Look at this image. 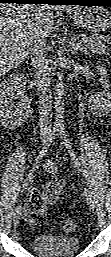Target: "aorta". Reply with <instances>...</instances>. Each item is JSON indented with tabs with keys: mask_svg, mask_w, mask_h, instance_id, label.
Instances as JSON below:
<instances>
[{
	"mask_svg": "<svg viewBox=\"0 0 111 257\" xmlns=\"http://www.w3.org/2000/svg\"><path fill=\"white\" fill-rule=\"evenodd\" d=\"M63 95H64V83L63 74L61 72L57 73V83H56V97H55V110H56V124L60 123V118L63 112Z\"/></svg>",
	"mask_w": 111,
	"mask_h": 257,
	"instance_id": "762f6f07",
	"label": "aorta"
}]
</instances>
